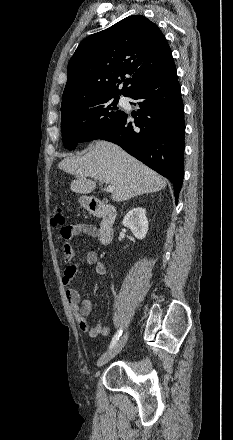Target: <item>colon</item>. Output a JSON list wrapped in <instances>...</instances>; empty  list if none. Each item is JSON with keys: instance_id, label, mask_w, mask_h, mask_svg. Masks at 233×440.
<instances>
[{"instance_id": "5ec220e1", "label": "colon", "mask_w": 233, "mask_h": 440, "mask_svg": "<svg viewBox=\"0 0 233 440\" xmlns=\"http://www.w3.org/2000/svg\"><path fill=\"white\" fill-rule=\"evenodd\" d=\"M51 222L54 226H64L65 217L63 214V210L60 206L55 205L52 207V217Z\"/></svg>"}]
</instances>
